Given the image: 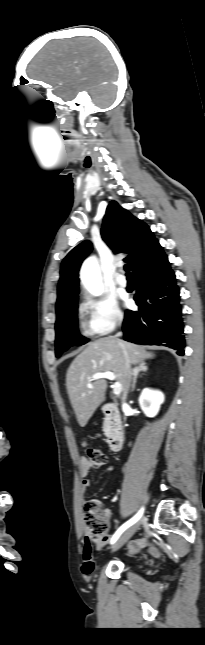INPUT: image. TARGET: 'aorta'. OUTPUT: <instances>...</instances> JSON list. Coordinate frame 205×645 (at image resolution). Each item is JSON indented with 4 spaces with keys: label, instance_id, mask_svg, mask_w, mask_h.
<instances>
[{
    "label": "aorta",
    "instance_id": "aorta-1",
    "mask_svg": "<svg viewBox=\"0 0 205 645\" xmlns=\"http://www.w3.org/2000/svg\"><path fill=\"white\" fill-rule=\"evenodd\" d=\"M81 280L86 289L95 296H99L103 292L101 283V276L98 264L95 258L90 257L86 259L81 268Z\"/></svg>",
    "mask_w": 205,
    "mask_h": 645
}]
</instances>
